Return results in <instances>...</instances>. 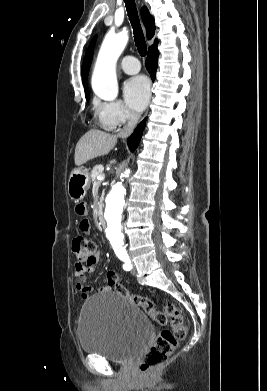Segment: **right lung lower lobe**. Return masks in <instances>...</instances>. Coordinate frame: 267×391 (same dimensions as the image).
Here are the masks:
<instances>
[{"label":"right lung lower lobe","mask_w":267,"mask_h":391,"mask_svg":"<svg viewBox=\"0 0 267 391\" xmlns=\"http://www.w3.org/2000/svg\"><path fill=\"white\" fill-rule=\"evenodd\" d=\"M158 55H159V52H158L157 48L154 50L148 51L147 59L145 62V66H146L148 72L150 73V76L153 81L155 79V74H156V70H157ZM145 123H146V119H144L142 122H140L139 125L134 130V133L127 140V144L129 146V149L132 152L137 148V146L139 144V141L142 136V132L145 127Z\"/></svg>","instance_id":"right-lung-lower-lobe-1"}]
</instances>
